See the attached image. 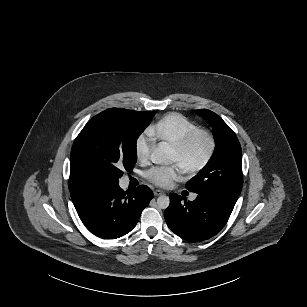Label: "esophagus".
Wrapping results in <instances>:
<instances>
[{"label":"esophagus","instance_id":"34e87169","mask_svg":"<svg viewBox=\"0 0 307 307\" xmlns=\"http://www.w3.org/2000/svg\"><path fill=\"white\" fill-rule=\"evenodd\" d=\"M163 194H164V192L162 190H155L154 191L155 196H160V195H163Z\"/></svg>","mask_w":307,"mask_h":307}]
</instances>
